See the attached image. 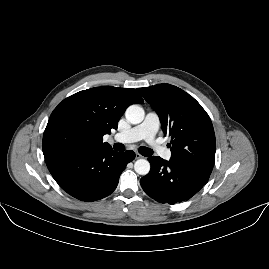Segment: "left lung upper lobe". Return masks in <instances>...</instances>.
I'll return each mask as SVG.
<instances>
[{
    "mask_svg": "<svg viewBox=\"0 0 269 269\" xmlns=\"http://www.w3.org/2000/svg\"><path fill=\"white\" fill-rule=\"evenodd\" d=\"M157 112L164 134L171 136V161L212 172L215 133L206 111L188 93L159 84L137 89Z\"/></svg>",
    "mask_w": 269,
    "mask_h": 269,
    "instance_id": "1",
    "label": "left lung upper lobe"
}]
</instances>
